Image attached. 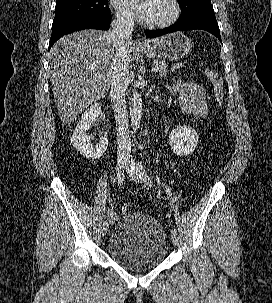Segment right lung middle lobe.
Listing matches in <instances>:
<instances>
[{
  "label": "right lung middle lobe",
  "instance_id": "dd1d6c3e",
  "mask_svg": "<svg viewBox=\"0 0 272 303\" xmlns=\"http://www.w3.org/2000/svg\"><path fill=\"white\" fill-rule=\"evenodd\" d=\"M79 17L111 18L108 0H57L52 25Z\"/></svg>",
  "mask_w": 272,
  "mask_h": 303
}]
</instances>
